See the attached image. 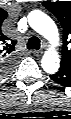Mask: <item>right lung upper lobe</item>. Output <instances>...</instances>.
I'll list each match as a JSON object with an SVG mask.
<instances>
[{"instance_id":"1","label":"right lung upper lobe","mask_w":71,"mask_h":119,"mask_svg":"<svg viewBox=\"0 0 71 119\" xmlns=\"http://www.w3.org/2000/svg\"><path fill=\"white\" fill-rule=\"evenodd\" d=\"M1 14H2V20L7 18V16H8V13L4 10L1 11ZM2 41H3V44L5 46V50L7 51V53H11L12 51H14L15 44H16L15 41L10 40L6 36H2Z\"/></svg>"}]
</instances>
